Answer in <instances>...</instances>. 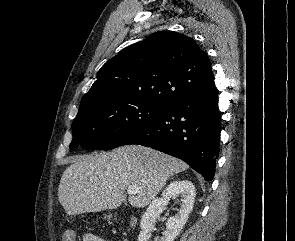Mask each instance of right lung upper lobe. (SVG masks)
<instances>
[{"instance_id": "right-lung-upper-lobe-1", "label": "right lung upper lobe", "mask_w": 295, "mask_h": 241, "mask_svg": "<svg viewBox=\"0 0 295 241\" xmlns=\"http://www.w3.org/2000/svg\"><path fill=\"white\" fill-rule=\"evenodd\" d=\"M213 85L208 55L195 40L174 31H158L106 62L84 97L114 91L126 99L164 107Z\"/></svg>"}]
</instances>
